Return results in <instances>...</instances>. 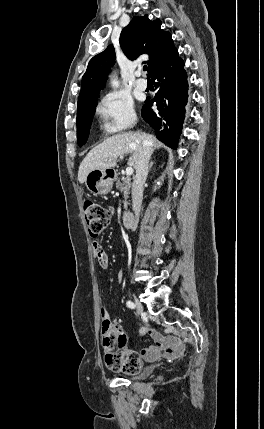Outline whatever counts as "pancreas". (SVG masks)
Masks as SVG:
<instances>
[{
  "instance_id": "cf45deb5",
  "label": "pancreas",
  "mask_w": 264,
  "mask_h": 429,
  "mask_svg": "<svg viewBox=\"0 0 264 429\" xmlns=\"http://www.w3.org/2000/svg\"><path fill=\"white\" fill-rule=\"evenodd\" d=\"M116 188L123 192L124 195V209L128 208V197L131 188V179L129 177H122L116 180Z\"/></svg>"
}]
</instances>
